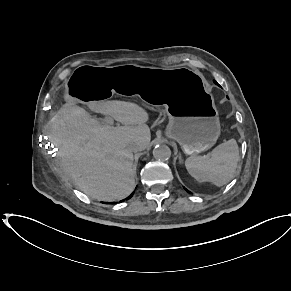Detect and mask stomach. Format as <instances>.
Here are the masks:
<instances>
[{
    "label": "stomach",
    "mask_w": 291,
    "mask_h": 291,
    "mask_svg": "<svg viewBox=\"0 0 291 291\" xmlns=\"http://www.w3.org/2000/svg\"><path fill=\"white\" fill-rule=\"evenodd\" d=\"M112 94H139L163 104L169 117L166 135L187 155L210 149L220 135L213 96L203 75L187 67L156 68L134 64L107 68L84 65L71 76L66 99L99 101Z\"/></svg>",
    "instance_id": "obj_1"
}]
</instances>
